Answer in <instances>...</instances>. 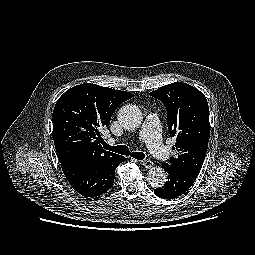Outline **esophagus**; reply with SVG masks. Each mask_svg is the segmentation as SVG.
<instances>
[{
	"label": "esophagus",
	"instance_id": "obj_1",
	"mask_svg": "<svg viewBox=\"0 0 255 255\" xmlns=\"http://www.w3.org/2000/svg\"><path fill=\"white\" fill-rule=\"evenodd\" d=\"M141 164L145 168H151L153 166V162L150 159H146V160L141 161Z\"/></svg>",
	"mask_w": 255,
	"mask_h": 255
}]
</instances>
